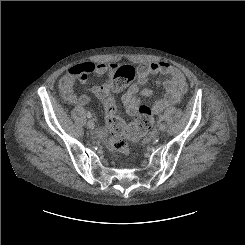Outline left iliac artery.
Returning <instances> with one entry per match:
<instances>
[{"label": "left iliac artery", "mask_w": 245, "mask_h": 245, "mask_svg": "<svg viewBox=\"0 0 245 245\" xmlns=\"http://www.w3.org/2000/svg\"><path fill=\"white\" fill-rule=\"evenodd\" d=\"M159 120L160 121H163L164 120V116L163 115H160Z\"/></svg>", "instance_id": "1"}]
</instances>
